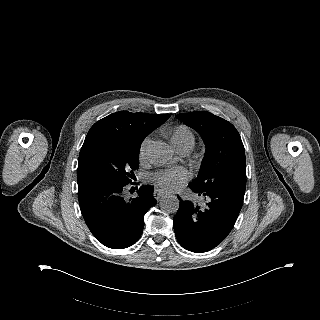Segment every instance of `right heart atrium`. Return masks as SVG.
<instances>
[{
	"label": "right heart atrium",
	"mask_w": 320,
	"mask_h": 320,
	"mask_svg": "<svg viewBox=\"0 0 320 320\" xmlns=\"http://www.w3.org/2000/svg\"><path fill=\"white\" fill-rule=\"evenodd\" d=\"M148 143H149L148 138L144 139L143 142L141 143L140 150H139L140 157L145 156V151H146Z\"/></svg>",
	"instance_id": "d8ad5b80"
}]
</instances>
